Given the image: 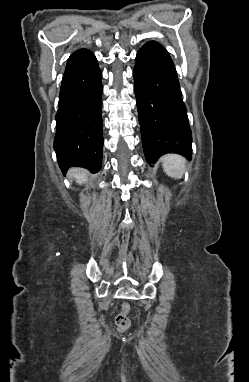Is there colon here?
<instances>
[{
    "instance_id": "5ec220e1",
    "label": "colon",
    "mask_w": 249,
    "mask_h": 382,
    "mask_svg": "<svg viewBox=\"0 0 249 382\" xmlns=\"http://www.w3.org/2000/svg\"><path fill=\"white\" fill-rule=\"evenodd\" d=\"M129 306L127 304H123L122 310L116 317V326L119 330H125L130 326V319L128 317Z\"/></svg>"
}]
</instances>
